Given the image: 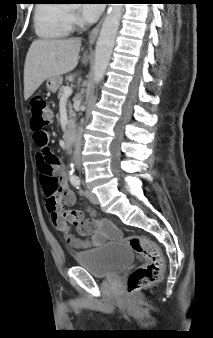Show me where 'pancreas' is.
<instances>
[{"instance_id":"cf45deb5","label":"pancreas","mask_w":213,"mask_h":338,"mask_svg":"<svg viewBox=\"0 0 213 338\" xmlns=\"http://www.w3.org/2000/svg\"><path fill=\"white\" fill-rule=\"evenodd\" d=\"M64 87H61L58 91L57 97L58 99H61L63 97L64 94ZM69 107V118H70V122L73 120V118L75 117V112L72 109V105L71 103L68 104Z\"/></svg>"}]
</instances>
